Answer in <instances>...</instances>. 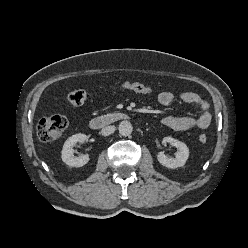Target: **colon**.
<instances>
[{"instance_id": "5ec220e1", "label": "colon", "mask_w": 248, "mask_h": 248, "mask_svg": "<svg viewBox=\"0 0 248 248\" xmlns=\"http://www.w3.org/2000/svg\"><path fill=\"white\" fill-rule=\"evenodd\" d=\"M118 89L130 90L136 93L146 94L150 92V87L141 82H125L118 86ZM95 97L94 93L85 90H73L68 94V100L74 105H81ZM68 125L66 116L62 114L50 115L42 118L37 126L38 138L43 142H49L57 139ZM201 143H206L207 136H199Z\"/></svg>"}]
</instances>
